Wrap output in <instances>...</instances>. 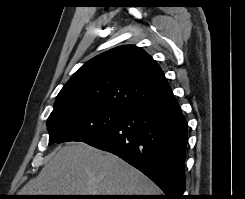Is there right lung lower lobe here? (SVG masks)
I'll return each instance as SVG.
<instances>
[{
  "label": "right lung lower lobe",
  "instance_id": "right-lung-lower-lobe-1",
  "mask_svg": "<svg viewBox=\"0 0 245 199\" xmlns=\"http://www.w3.org/2000/svg\"><path fill=\"white\" fill-rule=\"evenodd\" d=\"M85 143L111 152L148 176L165 193L183 199L187 122L173 93L128 112Z\"/></svg>",
  "mask_w": 245,
  "mask_h": 199
}]
</instances>
